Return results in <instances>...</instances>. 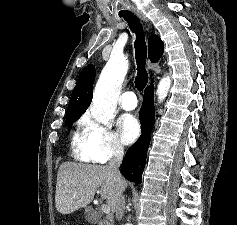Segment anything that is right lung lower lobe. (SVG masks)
I'll list each match as a JSON object with an SVG mask.
<instances>
[{
  "label": "right lung lower lobe",
  "mask_w": 237,
  "mask_h": 225,
  "mask_svg": "<svg viewBox=\"0 0 237 225\" xmlns=\"http://www.w3.org/2000/svg\"><path fill=\"white\" fill-rule=\"evenodd\" d=\"M139 116L143 134L138 141L129 148L121 166L123 176L136 184L142 182L147 150L151 139L150 132L152 131L155 122L153 84H150L144 91L143 104Z\"/></svg>",
  "instance_id": "right-lung-lower-lobe-1"
}]
</instances>
